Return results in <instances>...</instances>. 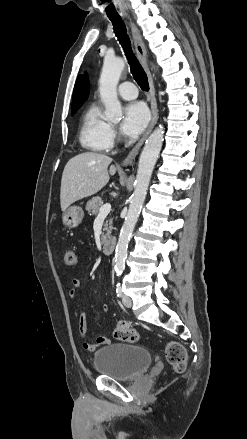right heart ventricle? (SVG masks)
<instances>
[{"instance_id": "obj_1", "label": "right heart ventricle", "mask_w": 247, "mask_h": 439, "mask_svg": "<svg viewBox=\"0 0 247 439\" xmlns=\"http://www.w3.org/2000/svg\"><path fill=\"white\" fill-rule=\"evenodd\" d=\"M78 138L81 146L92 152H107L112 149V128L102 117L97 104H91L83 113Z\"/></svg>"}]
</instances>
